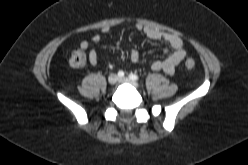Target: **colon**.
Returning <instances> with one entry per match:
<instances>
[{
    "label": "colon",
    "mask_w": 248,
    "mask_h": 165,
    "mask_svg": "<svg viewBox=\"0 0 248 165\" xmlns=\"http://www.w3.org/2000/svg\"><path fill=\"white\" fill-rule=\"evenodd\" d=\"M86 54L82 49H74L69 57V64L73 68H83L86 65ZM195 61L192 58L185 60L184 66L186 69L191 70L195 67Z\"/></svg>",
    "instance_id": "colon-1"
}]
</instances>
